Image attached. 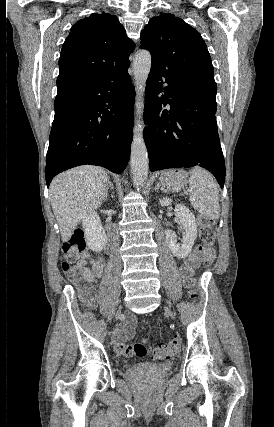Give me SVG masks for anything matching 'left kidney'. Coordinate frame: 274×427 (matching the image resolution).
<instances>
[{"mask_svg": "<svg viewBox=\"0 0 274 427\" xmlns=\"http://www.w3.org/2000/svg\"><path fill=\"white\" fill-rule=\"evenodd\" d=\"M171 202L172 200L163 198V200H160L159 204L160 206H171ZM174 212L176 217H179L181 225H183L182 229H185L181 239L182 243H178L177 239H175L172 229H166L165 237L167 245H169V249H171L173 255L178 257V259H183V257L191 253L194 241L197 237L196 217L194 214H191L186 206H182V204H177Z\"/></svg>", "mask_w": 274, "mask_h": 427, "instance_id": "left-kidney-1", "label": "left kidney"}]
</instances>
